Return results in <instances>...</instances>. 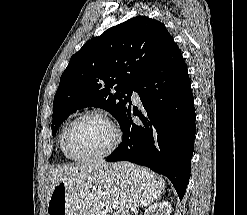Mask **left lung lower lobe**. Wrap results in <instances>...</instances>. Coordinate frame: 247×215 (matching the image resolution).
<instances>
[{
	"label": "left lung lower lobe",
	"mask_w": 247,
	"mask_h": 215,
	"mask_svg": "<svg viewBox=\"0 0 247 215\" xmlns=\"http://www.w3.org/2000/svg\"><path fill=\"white\" fill-rule=\"evenodd\" d=\"M135 91L144 111L133 113L142 124L133 123L128 110L120 124L123 141L106 161L149 167L167 176L182 199L190 178L196 114L187 67L173 38Z\"/></svg>",
	"instance_id": "1"
}]
</instances>
